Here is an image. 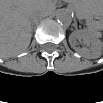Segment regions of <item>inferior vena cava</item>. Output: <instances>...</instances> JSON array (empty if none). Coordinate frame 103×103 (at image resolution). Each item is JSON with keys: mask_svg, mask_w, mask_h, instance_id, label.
Instances as JSON below:
<instances>
[{"mask_svg": "<svg viewBox=\"0 0 103 103\" xmlns=\"http://www.w3.org/2000/svg\"><path fill=\"white\" fill-rule=\"evenodd\" d=\"M43 16H44V14H42V13L32 14L30 20H31V22H33V21H35V20H36V21H37V20H41Z\"/></svg>", "mask_w": 103, "mask_h": 103, "instance_id": "602c4592", "label": "inferior vena cava"}]
</instances>
